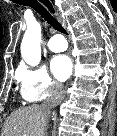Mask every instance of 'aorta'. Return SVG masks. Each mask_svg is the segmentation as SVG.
I'll return each instance as SVG.
<instances>
[{
    "label": "aorta",
    "mask_w": 117,
    "mask_h": 136,
    "mask_svg": "<svg viewBox=\"0 0 117 136\" xmlns=\"http://www.w3.org/2000/svg\"><path fill=\"white\" fill-rule=\"evenodd\" d=\"M41 25L37 21L28 24L21 43V55L24 61L36 66L41 60Z\"/></svg>",
    "instance_id": "762f6f07"
}]
</instances>
